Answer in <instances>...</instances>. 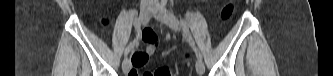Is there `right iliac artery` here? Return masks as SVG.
Returning a JSON list of instances; mask_svg holds the SVG:
<instances>
[{"label":"right iliac artery","mask_w":333,"mask_h":76,"mask_svg":"<svg viewBox=\"0 0 333 76\" xmlns=\"http://www.w3.org/2000/svg\"><path fill=\"white\" fill-rule=\"evenodd\" d=\"M134 25H135V29H136V32H137V38L134 39L132 42H130L129 45L127 46V48H126V50H125V55H126V56L128 55V53H129L131 50H133V48H134L135 46L138 45V38H139L140 33H141V23H140V19H139V18H136V19H135V23H134Z\"/></svg>","instance_id":"right-iliac-artery-1"}]
</instances>
